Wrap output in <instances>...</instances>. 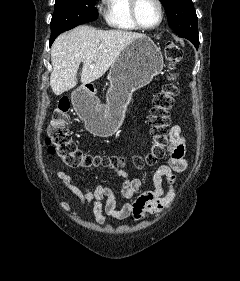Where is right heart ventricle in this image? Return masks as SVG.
I'll use <instances>...</instances> for the list:
<instances>
[{"instance_id": "1", "label": "right heart ventricle", "mask_w": 240, "mask_h": 281, "mask_svg": "<svg viewBox=\"0 0 240 281\" xmlns=\"http://www.w3.org/2000/svg\"><path fill=\"white\" fill-rule=\"evenodd\" d=\"M131 0H105L104 17L106 23L120 31H136L130 14Z\"/></svg>"}]
</instances>
